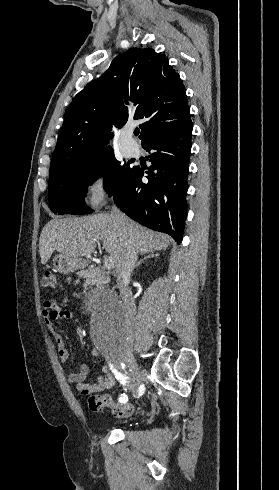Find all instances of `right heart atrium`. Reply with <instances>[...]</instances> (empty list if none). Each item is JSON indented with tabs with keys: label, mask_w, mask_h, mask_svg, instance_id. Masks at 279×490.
Segmentation results:
<instances>
[{
	"label": "right heart atrium",
	"mask_w": 279,
	"mask_h": 490,
	"mask_svg": "<svg viewBox=\"0 0 279 490\" xmlns=\"http://www.w3.org/2000/svg\"><path fill=\"white\" fill-rule=\"evenodd\" d=\"M113 171L108 164L93 169L84 184L85 202L89 209L97 210L105 202L112 187Z\"/></svg>",
	"instance_id": "obj_1"
}]
</instances>
